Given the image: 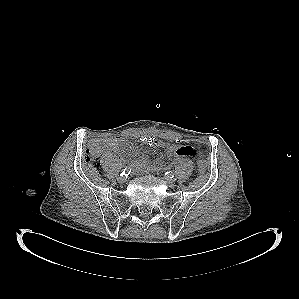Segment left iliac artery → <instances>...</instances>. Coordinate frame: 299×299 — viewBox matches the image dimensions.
Returning <instances> with one entry per match:
<instances>
[{"label": "left iliac artery", "mask_w": 299, "mask_h": 299, "mask_svg": "<svg viewBox=\"0 0 299 299\" xmlns=\"http://www.w3.org/2000/svg\"><path fill=\"white\" fill-rule=\"evenodd\" d=\"M165 176H166L167 179H172V178H174V174H173L172 171H168V172H166V173H165Z\"/></svg>", "instance_id": "44dca946"}]
</instances>
